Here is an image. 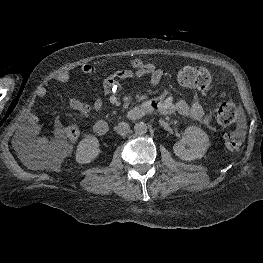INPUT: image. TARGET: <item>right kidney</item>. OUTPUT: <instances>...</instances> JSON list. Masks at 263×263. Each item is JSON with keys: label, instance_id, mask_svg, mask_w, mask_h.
<instances>
[{"label": "right kidney", "instance_id": "1", "mask_svg": "<svg viewBox=\"0 0 263 263\" xmlns=\"http://www.w3.org/2000/svg\"><path fill=\"white\" fill-rule=\"evenodd\" d=\"M100 154L99 141L95 136L88 135L83 138L76 151V161L79 164H88Z\"/></svg>", "mask_w": 263, "mask_h": 263}]
</instances>
